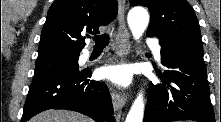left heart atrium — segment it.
Listing matches in <instances>:
<instances>
[{
    "label": "left heart atrium",
    "mask_w": 221,
    "mask_h": 122,
    "mask_svg": "<svg viewBox=\"0 0 221 122\" xmlns=\"http://www.w3.org/2000/svg\"><path fill=\"white\" fill-rule=\"evenodd\" d=\"M102 75L120 85H126L130 81V71L124 66H107L102 69Z\"/></svg>",
    "instance_id": "left-heart-atrium-1"
}]
</instances>
